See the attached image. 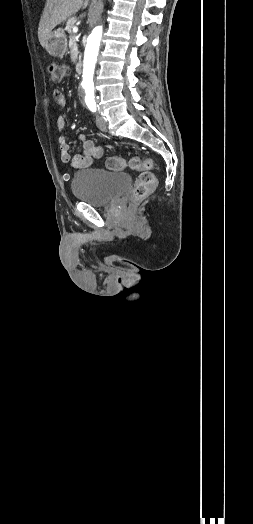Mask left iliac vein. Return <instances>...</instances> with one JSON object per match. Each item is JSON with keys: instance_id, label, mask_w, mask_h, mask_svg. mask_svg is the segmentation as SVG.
Wrapping results in <instances>:
<instances>
[{"instance_id": "left-iliac-vein-1", "label": "left iliac vein", "mask_w": 253, "mask_h": 524, "mask_svg": "<svg viewBox=\"0 0 253 524\" xmlns=\"http://www.w3.org/2000/svg\"><path fill=\"white\" fill-rule=\"evenodd\" d=\"M96 124H97V127L101 130V131H107V120L100 116V115H96Z\"/></svg>"}]
</instances>
